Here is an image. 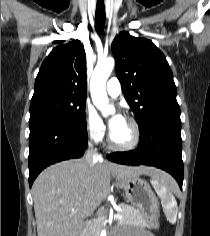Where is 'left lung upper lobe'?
Returning a JSON list of instances; mask_svg holds the SVG:
<instances>
[{
  "mask_svg": "<svg viewBox=\"0 0 210 236\" xmlns=\"http://www.w3.org/2000/svg\"><path fill=\"white\" fill-rule=\"evenodd\" d=\"M112 52L116 75L139 128L154 117H180L171 68L152 41L121 32L112 42Z\"/></svg>",
  "mask_w": 210,
  "mask_h": 236,
  "instance_id": "1",
  "label": "left lung upper lobe"
}]
</instances>
